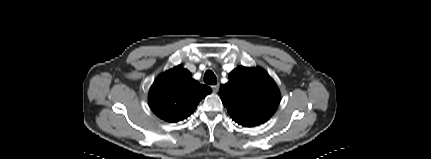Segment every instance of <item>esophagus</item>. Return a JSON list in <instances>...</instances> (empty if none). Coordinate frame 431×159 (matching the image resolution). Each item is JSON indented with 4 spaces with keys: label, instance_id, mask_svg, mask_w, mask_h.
<instances>
[{
    "label": "esophagus",
    "instance_id": "esophagus-1",
    "mask_svg": "<svg viewBox=\"0 0 431 159\" xmlns=\"http://www.w3.org/2000/svg\"><path fill=\"white\" fill-rule=\"evenodd\" d=\"M211 88H212L214 93H217L219 90V84L213 85V86H211Z\"/></svg>",
    "mask_w": 431,
    "mask_h": 159
}]
</instances>
